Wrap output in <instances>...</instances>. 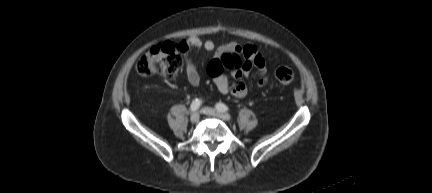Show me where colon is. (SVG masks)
Returning a JSON list of instances; mask_svg holds the SVG:
<instances>
[{"instance_id":"obj_1","label":"colon","mask_w":432,"mask_h":193,"mask_svg":"<svg viewBox=\"0 0 432 193\" xmlns=\"http://www.w3.org/2000/svg\"><path fill=\"white\" fill-rule=\"evenodd\" d=\"M180 46L171 42H164L152 47L142 55L137 63L136 70L142 76L161 75L173 79L182 64ZM244 60L240 55L226 53L221 57V64L210 62L209 73L214 77L224 68L232 71L241 68ZM275 78L281 85H289L294 80V73L287 67H280L275 71Z\"/></svg>"}]
</instances>
